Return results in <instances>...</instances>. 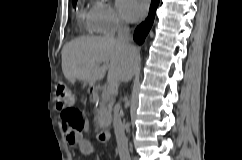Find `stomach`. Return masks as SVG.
<instances>
[{
    "instance_id": "obj_1",
    "label": "stomach",
    "mask_w": 242,
    "mask_h": 160,
    "mask_svg": "<svg viewBox=\"0 0 242 160\" xmlns=\"http://www.w3.org/2000/svg\"><path fill=\"white\" fill-rule=\"evenodd\" d=\"M89 86H90V88H94V85L93 84H90Z\"/></svg>"
}]
</instances>
